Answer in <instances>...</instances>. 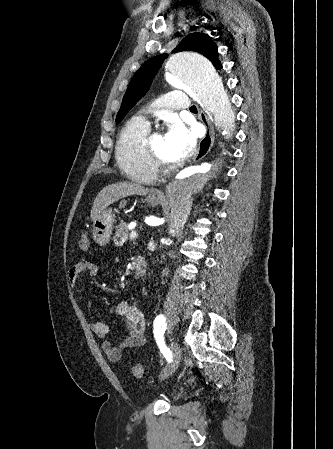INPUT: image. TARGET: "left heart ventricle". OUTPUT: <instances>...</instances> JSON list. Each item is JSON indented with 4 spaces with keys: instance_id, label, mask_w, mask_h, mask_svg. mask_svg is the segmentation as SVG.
Here are the masks:
<instances>
[{
    "instance_id": "obj_1",
    "label": "left heart ventricle",
    "mask_w": 333,
    "mask_h": 449,
    "mask_svg": "<svg viewBox=\"0 0 333 449\" xmlns=\"http://www.w3.org/2000/svg\"><path fill=\"white\" fill-rule=\"evenodd\" d=\"M152 147L157 155L168 163H172L173 160L169 154L165 136L158 134L153 137L151 141Z\"/></svg>"
}]
</instances>
